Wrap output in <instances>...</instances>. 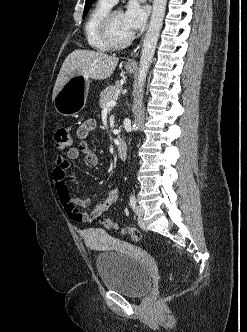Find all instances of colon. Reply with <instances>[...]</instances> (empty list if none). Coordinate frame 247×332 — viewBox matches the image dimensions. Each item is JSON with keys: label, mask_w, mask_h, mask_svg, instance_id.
Returning a JSON list of instances; mask_svg holds the SVG:
<instances>
[{"label": "colon", "mask_w": 247, "mask_h": 332, "mask_svg": "<svg viewBox=\"0 0 247 332\" xmlns=\"http://www.w3.org/2000/svg\"><path fill=\"white\" fill-rule=\"evenodd\" d=\"M53 141L56 149L63 151L72 146L73 140L72 137L64 126H56L53 129ZM106 226L109 229H118L116 223L108 220L106 221ZM123 233L132 241L137 242L141 238L140 232L135 228H126L123 229Z\"/></svg>", "instance_id": "5ec220e1"}]
</instances>
